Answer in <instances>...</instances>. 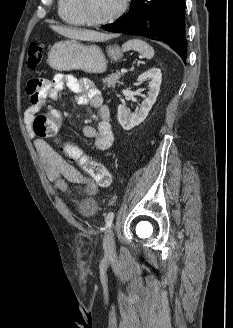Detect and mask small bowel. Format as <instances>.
I'll return each mask as SVG.
<instances>
[{"label": "small bowel", "mask_w": 233, "mask_h": 328, "mask_svg": "<svg viewBox=\"0 0 233 328\" xmlns=\"http://www.w3.org/2000/svg\"><path fill=\"white\" fill-rule=\"evenodd\" d=\"M65 87L73 95L78 105H90L97 109L99 116L97 127L85 125L83 134L93 141L96 149L100 151L109 149L114 142L111 113L104 103L101 90L89 79H77L71 75L60 73L53 79L30 80L26 87L30 104L24 114L25 123L31 124L34 116L49 106ZM34 146L48 180L56 189L67 192L68 183H74L84 185L85 192L88 194L97 192L98 187L95 181L83 176L49 143L43 139H36Z\"/></svg>", "instance_id": "obj_1"}]
</instances>
